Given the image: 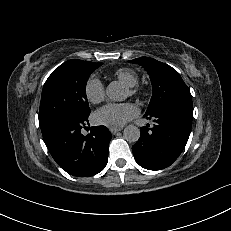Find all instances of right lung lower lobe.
Wrapping results in <instances>:
<instances>
[{"mask_svg": "<svg viewBox=\"0 0 231 231\" xmlns=\"http://www.w3.org/2000/svg\"><path fill=\"white\" fill-rule=\"evenodd\" d=\"M87 122L88 116L64 118L42 131L54 160L67 173L77 177L98 174L108 160L111 133L104 126H95L84 136L81 130Z\"/></svg>", "mask_w": 231, "mask_h": 231, "instance_id": "1", "label": "right lung lower lobe"}]
</instances>
